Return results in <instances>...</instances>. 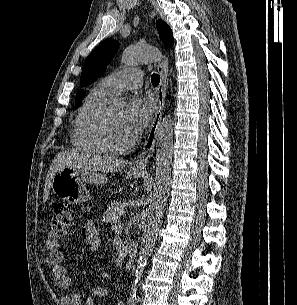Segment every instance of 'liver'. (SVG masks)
I'll return each mask as SVG.
<instances>
[{
    "mask_svg": "<svg viewBox=\"0 0 297 305\" xmlns=\"http://www.w3.org/2000/svg\"><path fill=\"white\" fill-rule=\"evenodd\" d=\"M125 165L126 162L121 159L62 151L55 156L49 168L45 181L43 201H47L52 178L62 167L67 166L75 169H87L103 173H114L123 169Z\"/></svg>",
    "mask_w": 297,
    "mask_h": 305,
    "instance_id": "obj_1",
    "label": "liver"
}]
</instances>
